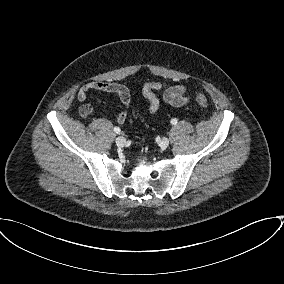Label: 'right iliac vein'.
Wrapping results in <instances>:
<instances>
[{
  "mask_svg": "<svg viewBox=\"0 0 284 284\" xmlns=\"http://www.w3.org/2000/svg\"><path fill=\"white\" fill-rule=\"evenodd\" d=\"M126 144V139L122 136L116 138V145L118 147H123Z\"/></svg>",
  "mask_w": 284,
  "mask_h": 284,
  "instance_id": "63e3f726",
  "label": "right iliac vein"
}]
</instances>
